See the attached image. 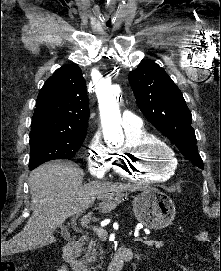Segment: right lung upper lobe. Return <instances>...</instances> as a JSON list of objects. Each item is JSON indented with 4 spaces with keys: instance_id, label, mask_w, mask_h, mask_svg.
I'll return each mask as SVG.
<instances>
[{
    "instance_id": "cb5924a9",
    "label": "right lung upper lobe",
    "mask_w": 221,
    "mask_h": 271,
    "mask_svg": "<svg viewBox=\"0 0 221 271\" xmlns=\"http://www.w3.org/2000/svg\"><path fill=\"white\" fill-rule=\"evenodd\" d=\"M89 99L85 79L77 65H64L42 87L31 131L87 132Z\"/></svg>"
}]
</instances>
